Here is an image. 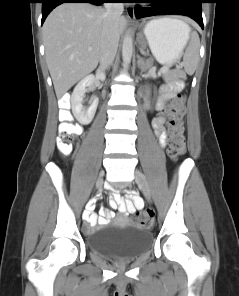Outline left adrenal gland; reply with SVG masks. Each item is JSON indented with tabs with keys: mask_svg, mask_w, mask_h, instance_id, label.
<instances>
[{
	"mask_svg": "<svg viewBox=\"0 0 239 296\" xmlns=\"http://www.w3.org/2000/svg\"><path fill=\"white\" fill-rule=\"evenodd\" d=\"M139 49H140V52H141L142 54H145V52H144V50H143L142 47H139ZM142 64H143V60L140 58V59L138 60V67H139V68H142Z\"/></svg>",
	"mask_w": 239,
	"mask_h": 296,
	"instance_id": "left-adrenal-gland-1",
	"label": "left adrenal gland"
}]
</instances>
